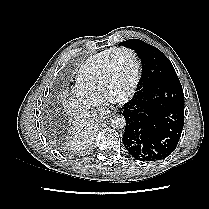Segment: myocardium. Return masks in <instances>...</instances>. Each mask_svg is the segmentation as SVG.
I'll list each match as a JSON object with an SVG mask.
<instances>
[{"instance_id":"1","label":"myocardium","mask_w":209,"mask_h":209,"mask_svg":"<svg viewBox=\"0 0 209 209\" xmlns=\"http://www.w3.org/2000/svg\"><path fill=\"white\" fill-rule=\"evenodd\" d=\"M119 53L131 54L134 64H135L136 71H135V78H134L133 84L131 88L129 89V91L123 96L114 97L110 94V82H111V75H112V70H113V59ZM140 79H141V65H140V62L138 60L136 53L132 49H129V48H122V47L116 48L112 52L108 60V63L105 67L104 77H103V88H102L103 94L106 98H108L109 100L113 102H118V103L127 102L134 96L137 90V87L139 85Z\"/></svg>"}]
</instances>
